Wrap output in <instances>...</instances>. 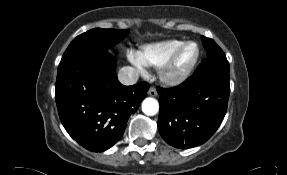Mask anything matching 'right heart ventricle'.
I'll use <instances>...</instances> for the list:
<instances>
[{
	"instance_id": "1",
	"label": "right heart ventricle",
	"mask_w": 287,
	"mask_h": 175,
	"mask_svg": "<svg viewBox=\"0 0 287 175\" xmlns=\"http://www.w3.org/2000/svg\"><path fill=\"white\" fill-rule=\"evenodd\" d=\"M184 41L170 39L143 46L139 51V59L143 66L160 68Z\"/></svg>"
}]
</instances>
